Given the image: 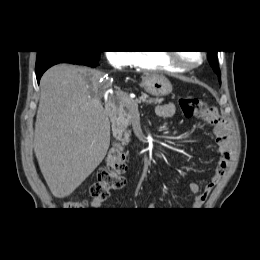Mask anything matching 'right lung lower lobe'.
<instances>
[{"label":"right lung lower lobe","instance_id":"right-lung-lower-lobe-1","mask_svg":"<svg viewBox=\"0 0 260 260\" xmlns=\"http://www.w3.org/2000/svg\"><path fill=\"white\" fill-rule=\"evenodd\" d=\"M97 61L98 60H95L92 58L76 57V56H72V55L58 56V57L46 62L39 68H36L37 82L39 83L42 74L48 68H50L51 66L56 65L58 63H72V64H77V65H86V66H90V67H95L97 65Z\"/></svg>","mask_w":260,"mask_h":260}]
</instances>
